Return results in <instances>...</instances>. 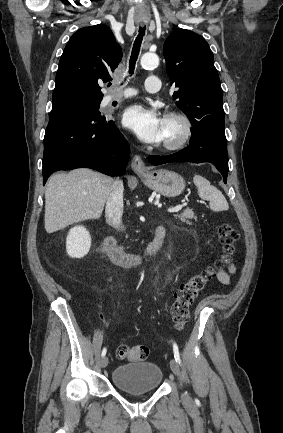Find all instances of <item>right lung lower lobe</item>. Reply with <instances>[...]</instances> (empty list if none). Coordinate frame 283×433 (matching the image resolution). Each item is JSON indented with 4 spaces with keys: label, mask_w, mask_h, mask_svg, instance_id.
Masks as SVG:
<instances>
[{
    "label": "right lung lower lobe",
    "mask_w": 283,
    "mask_h": 433,
    "mask_svg": "<svg viewBox=\"0 0 283 433\" xmlns=\"http://www.w3.org/2000/svg\"><path fill=\"white\" fill-rule=\"evenodd\" d=\"M129 154V144L114 121L98 110L50 116L44 137L43 185L55 171L81 167L123 175Z\"/></svg>",
    "instance_id": "1"
}]
</instances>
